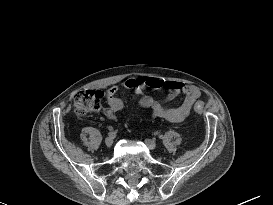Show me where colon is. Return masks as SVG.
<instances>
[{
    "label": "colon",
    "mask_w": 273,
    "mask_h": 205,
    "mask_svg": "<svg viewBox=\"0 0 273 205\" xmlns=\"http://www.w3.org/2000/svg\"><path fill=\"white\" fill-rule=\"evenodd\" d=\"M104 99V92L100 90H81L74 95V108L79 116H86L98 112ZM194 109L197 113L204 111L201 102L195 104Z\"/></svg>",
    "instance_id": "colon-1"
}]
</instances>
